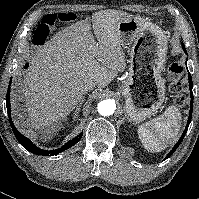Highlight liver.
Returning <instances> with one entry per match:
<instances>
[{"instance_id": "1", "label": "liver", "mask_w": 199, "mask_h": 199, "mask_svg": "<svg viewBox=\"0 0 199 199\" xmlns=\"http://www.w3.org/2000/svg\"><path fill=\"white\" fill-rule=\"evenodd\" d=\"M126 12L103 10L92 14L91 34L88 20L78 21L37 49L29 60L22 89L29 120L35 130L58 127L75 109L86 93L89 81L105 88L126 68L118 24ZM22 119V115L15 111Z\"/></svg>"}]
</instances>
